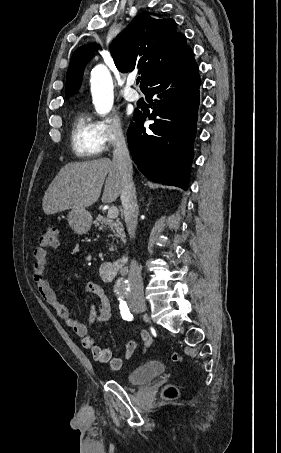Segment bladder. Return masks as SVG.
Returning <instances> with one entry per match:
<instances>
[{
    "instance_id": "obj_1",
    "label": "bladder",
    "mask_w": 281,
    "mask_h": 453,
    "mask_svg": "<svg viewBox=\"0 0 281 453\" xmlns=\"http://www.w3.org/2000/svg\"><path fill=\"white\" fill-rule=\"evenodd\" d=\"M165 370L160 361H151L133 369L126 377L128 384L137 385L151 381Z\"/></svg>"
}]
</instances>
